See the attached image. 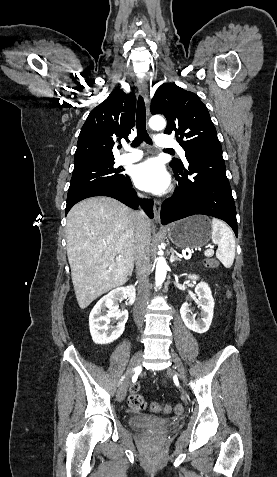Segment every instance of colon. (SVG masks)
I'll list each match as a JSON object with an SVG mask.
<instances>
[{
  "label": "colon",
  "mask_w": 277,
  "mask_h": 477,
  "mask_svg": "<svg viewBox=\"0 0 277 477\" xmlns=\"http://www.w3.org/2000/svg\"><path fill=\"white\" fill-rule=\"evenodd\" d=\"M217 266H218V262L215 259H213L212 256H205L204 257V259H203V267L204 268H215ZM224 295L226 297V302L227 303H232L233 302L234 293L232 292V290H230L229 286L225 287ZM128 403H129L130 408L135 410V411L143 410L146 406V402H145L143 396H141L140 394H137L135 392H133L129 396ZM151 410L154 411V412H161V411L169 412L171 410V408L169 406H162L158 403H152L151 404ZM174 412L176 414H181L183 412L182 405H176L174 407Z\"/></svg>",
  "instance_id": "obj_1"
}]
</instances>
